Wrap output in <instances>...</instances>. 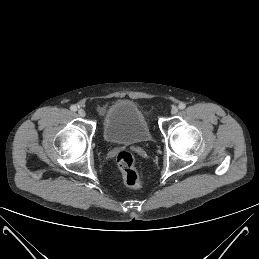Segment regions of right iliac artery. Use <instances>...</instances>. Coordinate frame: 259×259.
<instances>
[{
  "mask_svg": "<svg viewBox=\"0 0 259 259\" xmlns=\"http://www.w3.org/2000/svg\"><path fill=\"white\" fill-rule=\"evenodd\" d=\"M70 110L73 111V112H75V111H77V107H76L75 105H72V106L70 107Z\"/></svg>",
  "mask_w": 259,
  "mask_h": 259,
  "instance_id": "right-iliac-artery-1",
  "label": "right iliac artery"
}]
</instances>
